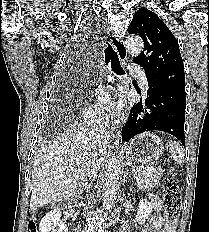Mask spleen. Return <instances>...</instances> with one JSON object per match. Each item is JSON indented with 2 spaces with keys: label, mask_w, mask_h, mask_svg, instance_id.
I'll use <instances>...</instances> for the list:
<instances>
[{
  "label": "spleen",
  "mask_w": 209,
  "mask_h": 232,
  "mask_svg": "<svg viewBox=\"0 0 209 232\" xmlns=\"http://www.w3.org/2000/svg\"><path fill=\"white\" fill-rule=\"evenodd\" d=\"M169 151L171 152L176 163L181 164L185 162V154L179 143L176 141H170Z\"/></svg>",
  "instance_id": "spleen-1"
}]
</instances>
